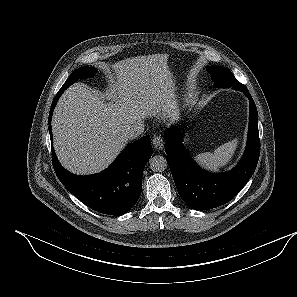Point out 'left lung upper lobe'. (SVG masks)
Listing matches in <instances>:
<instances>
[{
    "mask_svg": "<svg viewBox=\"0 0 297 297\" xmlns=\"http://www.w3.org/2000/svg\"><path fill=\"white\" fill-rule=\"evenodd\" d=\"M206 70L211 75L216 87H232L237 90L246 89V87L235 78L232 72L225 67L209 66Z\"/></svg>",
    "mask_w": 297,
    "mask_h": 297,
    "instance_id": "1",
    "label": "left lung upper lobe"
}]
</instances>
